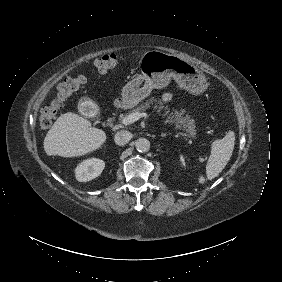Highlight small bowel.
<instances>
[{"mask_svg": "<svg viewBox=\"0 0 282 282\" xmlns=\"http://www.w3.org/2000/svg\"><path fill=\"white\" fill-rule=\"evenodd\" d=\"M174 98L173 94L167 92V93H164L163 96H162V101L164 103H169L170 101H172Z\"/></svg>", "mask_w": 282, "mask_h": 282, "instance_id": "obj_1", "label": "small bowel"}]
</instances>
